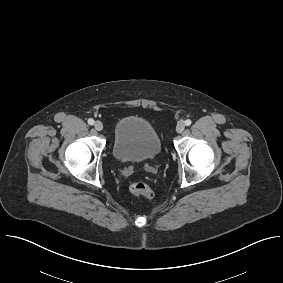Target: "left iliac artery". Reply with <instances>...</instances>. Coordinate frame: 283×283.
Here are the masks:
<instances>
[{
    "label": "left iliac artery",
    "instance_id": "left-iliac-artery-1",
    "mask_svg": "<svg viewBox=\"0 0 283 283\" xmlns=\"http://www.w3.org/2000/svg\"><path fill=\"white\" fill-rule=\"evenodd\" d=\"M191 123H192V121H191L190 119H187V120L185 121V125H186V126H190Z\"/></svg>",
    "mask_w": 283,
    "mask_h": 283
}]
</instances>
